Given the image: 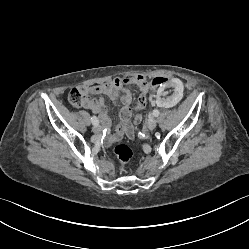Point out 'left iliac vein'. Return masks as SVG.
Listing matches in <instances>:
<instances>
[{
    "label": "left iliac vein",
    "mask_w": 249,
    "mask_h": 249,
    "mask_svg": "<svg viewBox=\"0 0 249 249\" xmlns=\"http://www.w3.org/2000/svg\"><path fill=\"white\" fill-rule=\"evenodd\" d=\"M156 125H157V120L154 117H151L147 123L148 129L153 130L155 129Z\"/></svg>",
    "instance_id": "1"
}]
</instances>
